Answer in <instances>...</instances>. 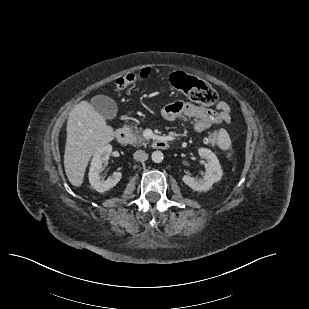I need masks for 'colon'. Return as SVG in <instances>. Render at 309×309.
I'll use <instances>...</instances> for the list:
<instances>
[{"mask_svg":"<svg viewBox=\"0 0 309 309\" xmlns=\"http://www.w3.org/2000/svg\"><path fill=\"white\" fill-rule=\"evenodd\" d=\"M149 74V69H143L138 73L124 75L116 80V87L119 90L125 89L136 81L147 78ZM169 83L174 89L183 92L199 104L211 106L217 102L218 95L216 91L206 82L196 77L183 72H175L170 76ZM216 140L215 135L208 138V142L211 144L215 143Z\"/></svg>","mask_w":309,"mask_h":309,"instance_id":"obj_1","label":"colon"}]
</instances>
